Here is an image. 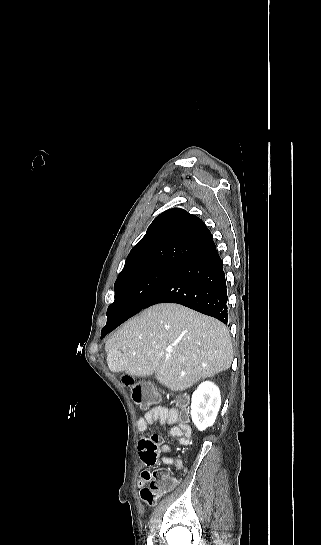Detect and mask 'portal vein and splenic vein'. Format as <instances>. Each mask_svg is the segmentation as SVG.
<instances>
[{"mask_svg":"<svg viewBox=\"0 0 321 545\" xmlns=\"http://www.w3.org/2000/svg\"><path fill=\"white\" fill-rule=\"evenodd\" d=\"M171 353H172V351H171V349H169V351H168V355H171Z\"/></svg>","mask_w":321,"mask_h":545,"instance_id":"portal-vein-and-splenic-vein-1","label":"portal vein and splenic vein"}]
</instances>
